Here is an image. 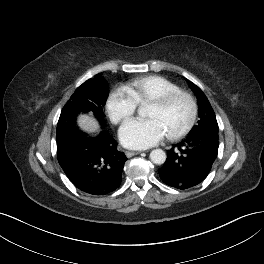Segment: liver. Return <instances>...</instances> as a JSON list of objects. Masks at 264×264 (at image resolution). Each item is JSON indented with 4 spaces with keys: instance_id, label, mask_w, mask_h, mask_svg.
<instances>
[{
    "instance_id": "1",
    "label": "liver",
    "mask_w": 264,
    "mask_h": 264,
    "mask_svg": "<svg viewBox=\"0 0 264 264\" xmlns=\"http://www.w3.org/2000/svg\"><path fill=\"white\" fill-rule=\"evenodd\" d=\"M78 123L82 129L88 132H96L99 129L97 120L85 114L80 115Z\"/></svg>"
}]
</instances>
